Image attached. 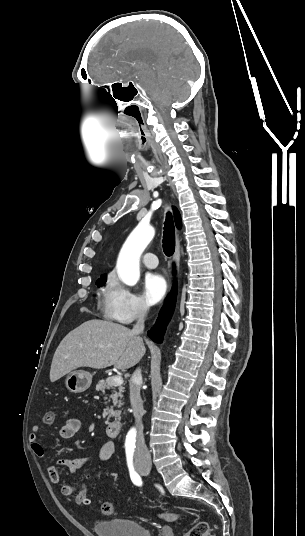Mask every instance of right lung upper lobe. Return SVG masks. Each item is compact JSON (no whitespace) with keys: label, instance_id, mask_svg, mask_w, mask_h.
<instances>
[{"label":"right lung upper lobe","instance_id":"right-lung-upper-lobe-1","mask_svg":"<svg viewBox=\"0 0 305 536\" xmlns=\"http://www.w3.org/2000/svg\"><path fill=\"white\" fill-rule=\"evenodd\" d=\"M173 212H174V219H175L176 226L178 229H181L182 223H181V217H180L179 211L176 208H173Z\"/></svg>","mask_w":305,"mask_h":536}]
</instances>
